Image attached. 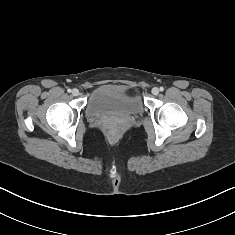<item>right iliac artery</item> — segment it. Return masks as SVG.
I'll return each instance as SVG.
<instances>
[{"mask_svg": "<svg viewBox=\"0 0 235 235\" xmlns=\"http://www.w3.org/2000/svg\"><path fill=\"white\" fill-rule=\"evenodd\" d=\"M67 92L70 93V92H71V89H68Z\"/></svg>", "mask_w": 235, "mask_h": 235, "instance_id": "82829eb1", "label": "right iliac artery"}]
</instances>
